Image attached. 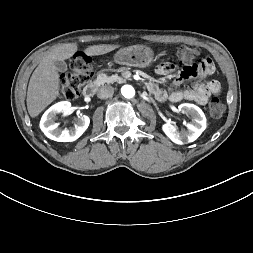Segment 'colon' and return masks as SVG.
Instances as JSON below:
<instances>
[{"label": "colon", "mask_w": 253, "mask_h": 253, "mask_svg": "<svg viewBox=\"0 0 253 253\" xmlns=\"http://www.w3.org/2000/svg\"><path fill=\"white\" fill-rule=\"evenodd\" d=\"M199 51L195 47L181 46L177 49L176 60L181 64H190L198 58ZM206 61V59H202ZM93 69L90 59L85 54L75 55L69 65V72L60 79L59 97L64 100L77 98L83 86L91 79ZM209 114L212 118L222 117L225 106L218 98H214L208 105Z\"/></svg>", "instance_id": "obj_1"}]
</instances>
